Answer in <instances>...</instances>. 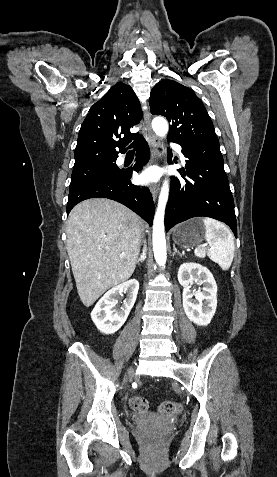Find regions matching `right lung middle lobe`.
<instances>
[{"label":"right lung middle lobe","instance_id":"1","mask_svg":"<svg viewBox=\"0 0 277 477\" xmlns=\"http://www.w3.org/2000/svg\"><path fill=\"white\" fill-rule=\"evenodd\" d=\"M115 161L116 160L73 168L70 189L100 175L120 172L121 169L114 163Z\"/></svg>","mask_w":277,"mask_h":477}]
</instances>
